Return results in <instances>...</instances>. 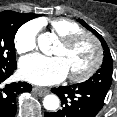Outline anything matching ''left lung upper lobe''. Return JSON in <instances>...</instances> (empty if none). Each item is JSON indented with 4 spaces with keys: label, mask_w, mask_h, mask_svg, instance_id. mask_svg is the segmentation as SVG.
Returning a JSON list of instances; mask_svg holds the SVG:
<instances>
[{
    "label": "left lung upper lobe",
    "mask_w": 117,
    "mask_h": 117,
    "mask_svg": "<svg viewBox=\"0 0 117 117\" xmlns=\"http://www.w3.org/2000/svg\"><path fill=\"white\" fill-rule=\"evenodd\" d=\"M79 22L88 30L93 32L97 38L100 40L103 49H104V60L102 63L101 68L96 72L95 75H93L90 79L87 81L83 82L82 84L89 86L91 88L97 89L105 94H107L111 83H112V56L110 53V50L103 39V37L96 32L93 28H91L85 21L82 19H79Z\"/></svg>",
    "instance_id": "left-lung-upper-lobe-1"
}]
</instances>
